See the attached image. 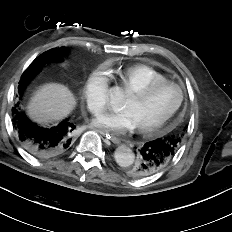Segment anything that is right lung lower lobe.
<instances>
[{"label":"right lung lower lobe","instance_id":"obj_1","mask_svg":"<svg viewBox=\"0 0 232 232\" xmlns=\"http://www.w3.org/2000/svg\"><path fill=\"white\" fill-rule=\"evenodd\" d=\"M26 86L19 88L20 99ZM18 104L12 108L13 126L23 148L38 158H52L65 153L72 146L74 123L66 118L55 126H40L18 111Z\"/></svg>","mask_w":232,"mask_h":232}]
</instances>
